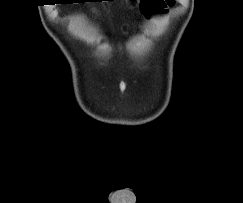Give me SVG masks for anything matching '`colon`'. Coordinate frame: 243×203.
Here are the masks:
<instances>
[{
    "mask_svg": "<svg viewBox=\"0 0 243 203\" xmlns=\"http://www.w3.org/2000/svg\"><path fill=\"white\" fill-rule=\"evenodd\" d=\"M174 4L175 0H141L140 10L148 19H160Z\"/></svg>",
    "mask_w": 243,
    "mask_h": 203,
    "instance_id": "obj_1",
    "label": "colon"
}]
</instances>
